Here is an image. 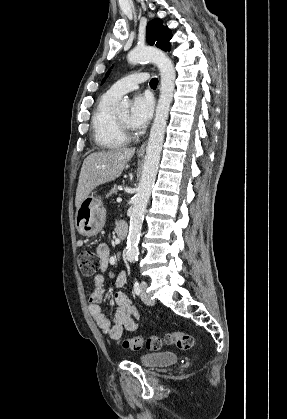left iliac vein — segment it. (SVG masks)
I'll return each instance as SVG.
<instances>
[{"label": "left iliac vein", "mask_w": 287, "mask_h": 419, "mask_svg": "<svg viewBox=\"0 0 287 419\" xmlns=\"http://www.w3.org/2000/svg\"><path fill=\"white\" fill-rule=\"evenodd\" d=\"M148 287L147 282L143 281L141 283V299L146 305H153L154 301L149 297V295L146 292V289Z\"/></svg>", "instance_id": "1"}]
</instances>
